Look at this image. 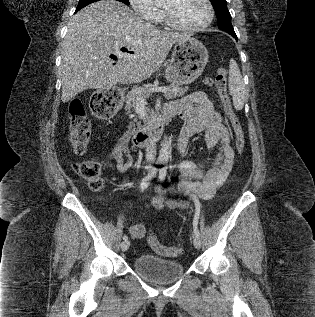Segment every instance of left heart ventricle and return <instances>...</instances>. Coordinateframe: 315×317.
<instances>
[{"mask_svg": "<svg viewBox=\"0 0 315 317\" xmlns=\"http://www.w3.org/2000/svg\"><path fill=\"white\" fill-rule=\"evenodd\" d=\"M163 8L185 26L201 25L208 15L204 0H166Z\"/></svg>", "mask_w": 315, "mask_h": 317, "instance_id": "left-heart-ventricle-1", "label": "left heart ventricle"}]
</instances>
